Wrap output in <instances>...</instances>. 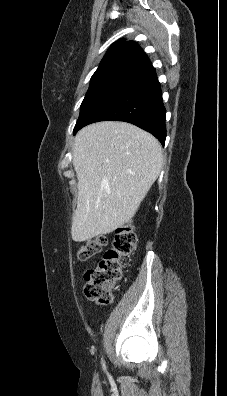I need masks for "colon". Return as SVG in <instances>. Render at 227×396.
I'll list each match as a JSON object with an SVG mask.
<instances>
[{"mask_svg":"<svg viewBox=\"0 0 227 396\" xmlns=\"http://www.w3.org/2000/svg\"><path fill=\"white\" fill-rule=\"evenodd\" d=\"M137 242L136 234L130 225L116 230L112 247L107 249L94 268L85 273V295L100 305H108L113 300V293L123 275V260L130 256ZM103 236L95 237L81 246L78 257L87 260L100 253L106 245Z\"/></svg>","mask_w":227,"mask_h":396,"instance_id":"colon-1","label":"colon"}]
</instances>
